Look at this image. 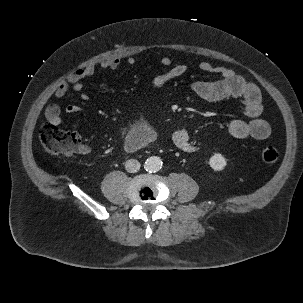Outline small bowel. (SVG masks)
Here are the masks:
<instances>
[{
  "label": "small bowel",
  "mask_w": 303,
  "mask_h": 303,
  "mask_svg": "<svg viewBox=\"0 0 303 303\" xmlns=\"http://www.w3.org/2000/svg\"><path fill=\"white\" fill-rule=\"evenodd\" d=\"M129 66L135 64V59L129 57L126 60ZM164 71L156 75L151 81L152 90H159L168 82L179 78L187 73L185 64H173L170 57H162L160 60ZM122 64L120 58H111L101 62L100 66L106 70H116ZM200 69L204 72L216 73L220 79L215 81H197L192 83L191 90L198 98L209 102H216L228 98H241L244 104V115L246 119H234L227 126V134L236 139L254 138L266 139L270 134L269 124L262 119L263 111L261 93L259 88L248 79L238 75L235 71L224 66H217L211 62H202ZM96 68L93 64L73 71L55 90L56 98L64 97L70 90L76 92L80 99L88 101L90 96L84 92L83 81L95 74ZM82 108L76 104H68L65 111L69 114L82 112ZM61 106L57 103L48 105L45 109V118L48 123L58 126L61 123ZM138 129H148L138 126ZM174 145L185 152H193L198 145L193 141L191 134L186 129H178L172 134ZM87 151L86 147L82 148Z\"/></svg>",
  "instance_id": "1"
}]
</instances>
